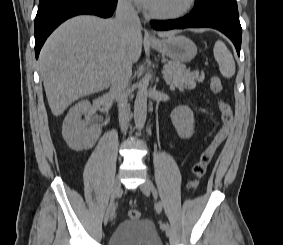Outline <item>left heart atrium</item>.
Instances as JSON below:
<instances>
[{"mask_svg":"<svg viewBox=\"0 0 283 245\" xmlns=\"http://www.w3.org/2000/svg\"><path fill=\"white\" fill-rule=\"evenodd\" d=\"M137 4H139L140 6H143L145 8H148L149 5L151 4L152 0H134Z\"/></svg>","mask_w":283,"mask_h":245,"instance_id":"39dd6f15","label":"left heart atrium"}]
</instances>
